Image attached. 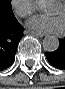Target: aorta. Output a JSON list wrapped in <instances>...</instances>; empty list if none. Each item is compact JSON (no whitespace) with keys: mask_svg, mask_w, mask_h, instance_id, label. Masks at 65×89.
<instances>
[{"mask_svg":"<svg viewBox=\"0 0 65 89\" xmlns=\"http://www.w3.org/2000/svg\"><path fill=\"white\" fill-rule=\"evenodd\" d=\"M36 5L39 10H46L49 5V1L38 0ZM58 47H59V40L56 36L48 35L43 39V48L45 51L54 52L58 49Z\"/></svg>","mask_w":65,"mask_h":89,"instance_id":"762f6f07","label":"aorta"}]
</instances>
